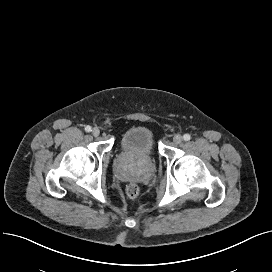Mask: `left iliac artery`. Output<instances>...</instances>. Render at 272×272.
I'll list each match as a JSON object with an SVG mask.
<instances>
[{
  "mask_svg": "<svg viewBox=\"0 0 272 272\" xmlns=\"http://www.w3.org/2000/svg\"><path fill=\"white\" fill-rule=\"evenodd\" d=\"M183 138H184L185 141H188V140L191 139V136H190L189 134H185V135L183 136Z\"/></svg>",
  "mask_w": 272,
  "mask_h": 272,
  "instance_id": "44dca946",
  "label": "left iliac artery"
}]
</instances>
